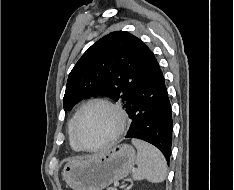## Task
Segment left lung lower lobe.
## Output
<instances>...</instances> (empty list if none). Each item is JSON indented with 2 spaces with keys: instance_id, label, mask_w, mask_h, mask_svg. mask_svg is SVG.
I'll use <instances>...</instances> for the list:
<instances>
[{
  "instance_id": "1",
  "label": "left lung lower lobe",
  "mask_w": 234,
  "mask_h": 190,
  "mask_svg": "<svg viewBox=\"0 0 234 190\" xmlns=\"http://www.w3.org/2000/svg\"><path fill=\"white\" fill-rule=\"evenodd\" d=\"M142 62L143 79L125 108L131 118L125 137L153 144L169 163L173 128L171 105L162 71L145 44Z\"/></svg>"
}]
</instances>
